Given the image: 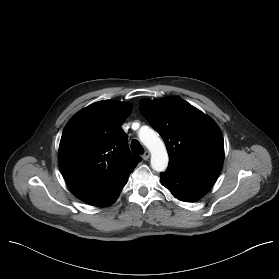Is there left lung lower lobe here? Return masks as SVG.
<instances>
[{
    "label": "left lung lower lobe",
    "mask_w": 279,
    "mask_h": 279,
    "mask_svg": "<svg viewBox=\"0 0 279 279\" xmlns=\"http://www.w3.org/2000/svg\"><path fill=\"white\" fill-rule=\"evenodd\" d=\"M161 183L181 201H196L214 185L217 177L200 176L168 167L160 174Z\"/></svg>",
    "instance_id": "1"
}]
</instances>
